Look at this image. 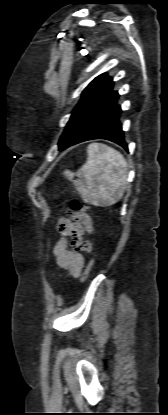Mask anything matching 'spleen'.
Segmentation results:
<instances>
[{
  "instance_id": "spleen-1",
  "label": "spleen",
  "mask_w": 168,
  "mask_h": 415,
  "mask_svg": "<svg viewBox=\"0 0 168 415\" xmlns=\"http://www.w3.org/2000/svg\"><path fill=\"white\" fill-rule=\"evenodd\" d=\"M84 201L110 206L124 194L127 184V162L117 150L105 144L92 143L87 160L76 173L64 172ZM74 176L78 179L74 180Z\"/></svg>"
}]
</instances>
